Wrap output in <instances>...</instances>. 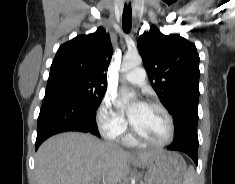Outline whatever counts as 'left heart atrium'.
<instances>
[{
  "instance_id": "left-heart-atrium-1",
  "label": "left heart atrium",
  "mask_w": 235,
  "mask_h": 184,
  "mask_svg": "<svg viewBox=\"0 0 235 184\" xmlns=\"http://www.w3.org/2000/svg\"><path fill=\"white\" fill-rule=\"evenodd\" d=\"M120 103H121V101H120ZM144 106H145L144 102H138L132 109H130L128 111V115H129V119H130L131 124H133L134 121L136 120L138 111L140 109H142Z\"/></svg>"
}]
</instances>
